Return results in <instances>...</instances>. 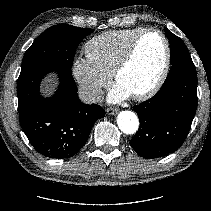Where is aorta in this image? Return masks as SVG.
<instances>
[{
  "label": "aorta",
  "mask_w": 211,
  "mask_h": 211,
  "mask_svg": "<svg viewBox=\"0 0 211 211\" xmlns=\"http://www.w3.org/2000/svg\"><path fill=\"white\" fill-rule=\"evenodd\" d=\"M117 124L123 133L133 134L138 130L139 120L134 112L126 110L118 114Z\"/></svg>",
  "instance_id": "1"
}]
</instances>
